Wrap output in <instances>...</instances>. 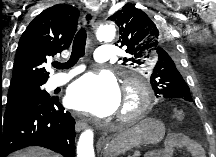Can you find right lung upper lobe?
<instances>
[{
  "mask_svg": "<svg viewBox=\"0 0 216 157\" xmlns=\"http://www.w3.org/2000/svg\"><path fill=\"white\" fill-rule=\"evenodd\" d=\"M78 17L77 8L57 4L32 20L18 43L9 92L46 83L49 74L44 65L69 48Z\"/></svg>",
  "mask_w": 216,
  "mask_h": 157,
  "instance_id": "obj_1",
  "label": "right lung upper lobe"
}]
</instances>
